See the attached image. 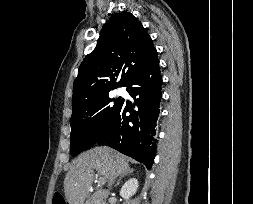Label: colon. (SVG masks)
Here are the masks:
<instances>
[{
	"label": "colon",
	"mask_w": 253,
	"mask_h": 204,
	"mask_svg": "<svg viewBox=\"0 0 253 204\" xmlns=\"http://www.w3.org/2000/svg\"><path fill=\"white\" fill-rule=\"evenodd\" d=\"M52 204H66L63 195L59 192L54 193Z\"/></svg>",
	"instance_id": "1"
}]
</instances>
